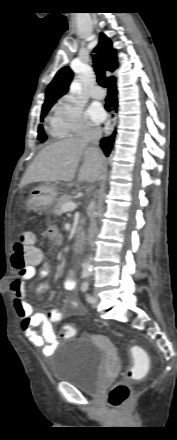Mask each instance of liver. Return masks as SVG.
<instances>
[{
  "instance_id": "1",
  "label": "liver",
  "mask_w": 177,
  "mask_h": 440,
  "mask_svg": "<svg viewBox=\"0 0 177 440\" xmlns=\"http://www.w3.org/2000/svg\"><path fill=\"white\" fill-rule=\"evenodd\" d=\"M78 181L94 183L99 179L104 162L103 153L78 138H69L46 146L27 168L20 186L35 182L72 181L79 162Z\"/></svg>"
}]
</instances>
